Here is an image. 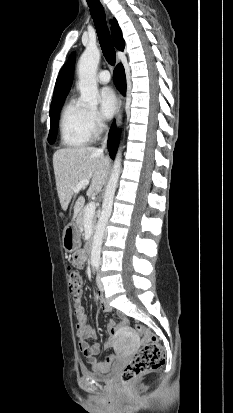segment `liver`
Instances as JSON below:
<instances>
[{
  "mask_svg": "<svg viewBox=\"0 0 233 413\" xmlns=\"http://www.w3.org/2000/svg\"><path fill=\"white\" fill-rule=\"evenodd\" d=\"M53 168L61 207L67 210L75 192L74 187L81 180H89L87 196L97 195L108 176L109 158L95 147H76L57 150L53 155ZM84 205V197L79 196L74 204V216Z\"/></svg>",
  "mask_w": 233,
  "mask_h": 413,
  "instance_id": "6515ba94",
  "label": "liver"
}]
</instances>
